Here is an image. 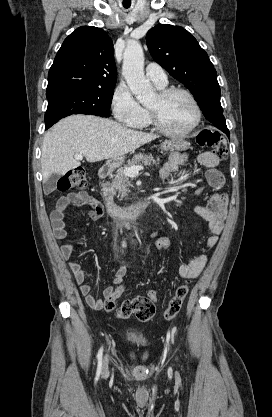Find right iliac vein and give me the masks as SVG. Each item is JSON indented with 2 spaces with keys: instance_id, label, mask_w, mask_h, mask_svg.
<instances>
[{
  "instance_id": "1",
  "label": "right iliac vein",
  "mask_w": 272,
  "mask_h": 417,
  "mask_svg": "<svg viewBox=\"0 0 272 417\" xmlns=\"http://www.w3.org/2000/svg\"><path fill=\"white\" fill-rule=\"evenodd\" d=\"M107 371H108V359L105 357V359L103 360L102 372L104 374Z\"/></svg>"
}]
</instances>
